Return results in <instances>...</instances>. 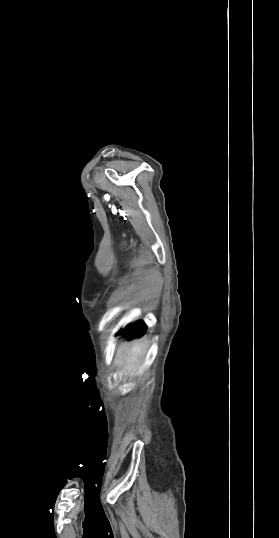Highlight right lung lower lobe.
Segmentation results:
<instances>
[{
    "label": "right lung lower lobe",
    "mask_w": 279,
    "mask_h": 538,
    "mask_svg": "<svg viewBox=\"0 0 279 538\" xmlns=\"http://www.w3.org/2000/svg\"><path fill=\"white\" fill-rule=\"evenodd\" d=\"M146 329L147 328H146V325L144 324V322L138 321V322H136L134 324H131V325L127 326L123 330V335L127 339H134V338L143 336L146 333Z\"/></svg>",
    "instance_id": "obj_1"
}]
</instances>
